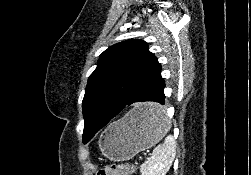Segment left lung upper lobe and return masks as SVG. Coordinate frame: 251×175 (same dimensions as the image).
<instances>
[{
  "mask_svg": "<svg viewBox=\"0 0 251 175\" xmlns=\"http://www.w3.org/2000/svg\"><path fill=\"white\" fill-rule=\"evenodd\" d=\"M158 64L148 43L138 39L114 44L100 55L97 68L88 79L82 102L84 144L104 127L94 120L93 113L111 103L121 105L127 102L140 80Z\"/></svg>",
  "mask_w": 251,
  "mask_h": 175,
  "instance_id": "obj_1",
  "label": "left lung upper lobe"
}]
</instances>
